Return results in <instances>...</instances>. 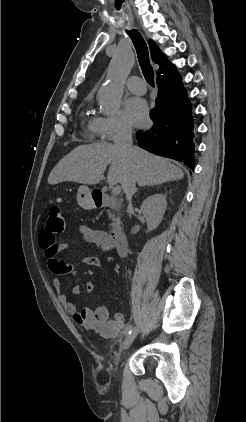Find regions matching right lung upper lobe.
Returning a JSON list of instances; mask_svg holds the SVG:
<instances>
[{
    "mask_svg": "<svg viewBox=\"0 0 246 422\" xmlns=\"http://www.w3.org/2000/svg\"><path fill=\"white\" fill-rule=\"evenodd\" d=\"M149 46L153 62L160 66L157 72V80H168L178 75L174 65L167 60L165 55L161 52V50L152 40L149 41Z\"/></svg>",
    "mask_w": 246,
    "mask_h": 422,
    "instance_id": "1",
    "label": "right lung upper lobe"
}]
</instances>
